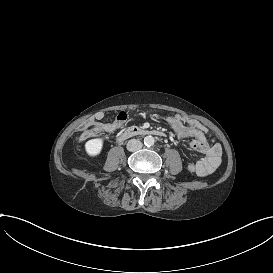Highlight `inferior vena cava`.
Segmentation results:
<instances>
[{
	"label": "inferior vena cava",
	"instance_id": "602c4592",
	"mask_svg": "<svg viewBox=\"0 0 273 273\" xmlns=\"http://www.w3.org/2000/svg\"><path fill=\"white\" fill-rule=\"evenodd\" d=\"M142 146H143V144L141 141H139L137 139H131L127 143V150L134 152V151L140 150L142 148Z\"/></svg>",
	"mask_w": 273,
	"mask_h": 273
}]
</instances>
